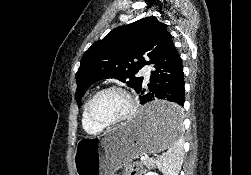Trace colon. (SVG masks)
Wrapping results in <instances>:
<instances>
[{
    "mask_svg": "<svg viewBox=\"0 0 251 175\" xmlns=\"http://www.w3.org/2000/svg\"><path fill=\"white\" fill-rule=\"evenodd\" d=\"M123 175H144V168L138 161H130L124 165Z\"/></svg>",
    "mask_w": 251,
    "mask_h": 175,
    "instance_id": "1",
    "label": "colon"
}]
</instances>
